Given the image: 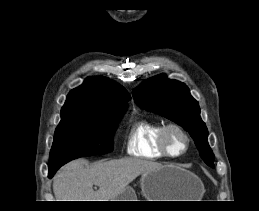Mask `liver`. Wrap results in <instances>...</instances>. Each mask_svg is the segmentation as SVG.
<instances>
[{"label": "liver", "instance_id": "obj_1", "mask_svg": "<svg viewBox=\"0 0 259 211\" xmlns=\"http://www.w3.org/2000/svg\"><path fill=\"white\" fill-rule=\"evenodd\" d=\"M77 159L66 164L54 177L56 201H113L140 174L162 165L139 158L99 161L88 167ZM93 185L99 187L93 190Z\"/></svg>", "mask_w": 259, "mask_h": 211}]
</instances>
